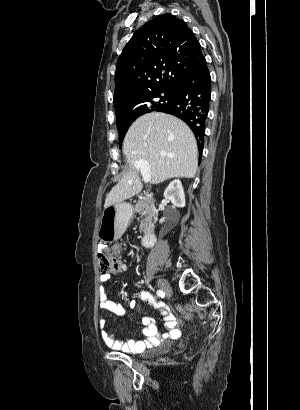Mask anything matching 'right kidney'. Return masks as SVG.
<instances>
[{
  "label": "right kidney",
  "mask_w": 300,
  "mask_h": 410,
  "mask_svg": "<svg viewBox=\"0 0 300 410\" xmlns=\"http://www.w3.org/2000/svg\"><path fill=\"white\" fill-rule=\"evenodd\" d=\"M164 197L175 207L183 208L185 206V194L182 183L179 179H175L170 182L164 192Z\"/></svg>",
  "instance_id": "1"
}]
</instances>
